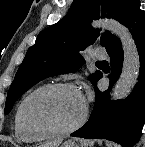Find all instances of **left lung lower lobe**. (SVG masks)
Returning <instances> with one entry per match:
<instances>
[{
	"instance_id": "0a47b994",
	"label": "left lung lower lobe",
	"mask_w": 145,
	"mask_h": 147,
	"mask_svg": "<svg viewBox=\"0 0 145 147\" xmlns=\"http://www.w3.org/2000/svg\"><path fill=\"white\" fill-rule=\"evenodd\" d=\"M132 33L140 58V73L138 82L131 94L124 100L111 101L109 89L101 92L95 82V97L93 111L89 120L79 130L71 134L73 137L86 139H108L132 147L139 141L145 122V13L140 9L138 0L128 4L123 22ZM110 56L109 88L119 78L123 64V50L118 38H114L106 48Z\"/></svg>"
}]
</instances>
